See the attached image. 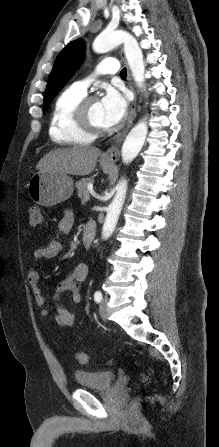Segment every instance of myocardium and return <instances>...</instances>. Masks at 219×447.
I'll return each instance as SVG.
<instances>
[{"mask_svg": "<svg viewBox=\"0 0 219 447\" xmlns=\"http://www.w3.org/2000/svg\"><path fill=\"white\" fill-rule=\"evenodd\" d=\"M95 101L93 96H84L76 104L73 112V118L77 128L91 137H98L107 132L105 126H99L92 121L90 109L92 103Z\"/></svg>", "mask_w": 219, "mask_h": 447, "instance_id": "f54148a6", "label": "myocardium"}]
</instances>
